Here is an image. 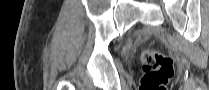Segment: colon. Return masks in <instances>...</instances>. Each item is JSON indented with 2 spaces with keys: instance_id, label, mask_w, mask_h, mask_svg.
Listing matches in <instances>:
<instances>
[{
  "instance_id": "obj_1",
  "label": "colon",
  "mask_w": 209,
  "mask_h": 90,
  "mask_svg": "<svg viewBox=\"0 0 209 90\" xmlns=\"http://www.w3.org/2000/svg\"><path fill=\"white\" fill-rule=\"evenodd\" d=\"M143 76L139 90H167L174 74L173 60L158 51L145 50L141 54Z\"/></svg>"
}]
</instances>
